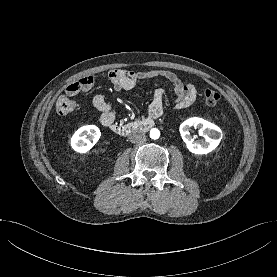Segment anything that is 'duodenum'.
Returning a JSON list of instances; mask_svg holds the SVG:
<instances>
[{"label":"duodenum","instance_id":"1","mask_svg":"<svg viewBox=\"0 0 277 277\" xmlns=\"http://www.w3.org/2000/svg\"><path fill=\"white\" fill-rule=\"evenodd\" d=\"M155 124V120L151 117L139 119L126 124L109 123L108 127L115 133L126 136L138 131H148Z\"/></svg>","mask_w":277,"mask_h":277}]
</instances>
